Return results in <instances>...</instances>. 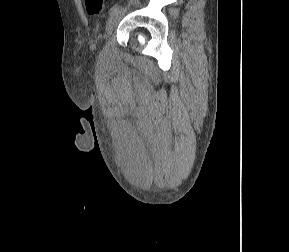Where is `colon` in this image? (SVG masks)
<instances>
[{
	"label": "colon",
	"mask_w": 289,
	"mask_h": 252,
	"mask_svg": "<svg viewBox=\"0 0 289 252\" xmlns=\"http://www.w3.org/2000/svg\"><path fill=\"white\" fill-rule=\"evenodd\" d=\"M88 14L99 16L104 11V0H84Z\"/></svg>",
	"instance_id": "1"
}]
</instances>
